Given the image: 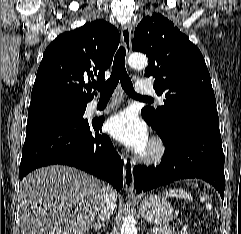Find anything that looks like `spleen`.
I'll use <instances>...</instances> for the list:
<instances>
[{
	"label": "spleen",
	"instance_id": "1",
	"mask_svg": "<svg viewBox=\"0 0 241 234\" xmlns=\"http://www.w3.org/2000/svg\"><path fill=\"white\" fill-rule=\"evenodd\" d=\"M165 195L176 198H183L188 201L193 200L192 196L183 189H170L169 191H166Z\"/></svg>",
	"mask_w": 241,
	"mask_h": 234
}]
</instances>
